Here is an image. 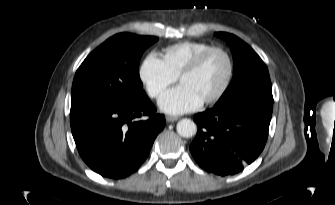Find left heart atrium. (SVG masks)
<instances>
[{"label":"left heart atrium","instance_id":"39dd6f15","mask_svg":"<svg viewBox=\"0 0 335 205\" xmlns=\"http://www.w3.org/2000/svg\"><path fill=\"white\" fill-rule=\"evenodd\" d=\"M202 103V99L195 92L180 84L161 96L159 107L170 114H183L197 109Z\"/></svg>","mask_w":335,"mask_h":205}]
</instances>
